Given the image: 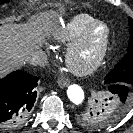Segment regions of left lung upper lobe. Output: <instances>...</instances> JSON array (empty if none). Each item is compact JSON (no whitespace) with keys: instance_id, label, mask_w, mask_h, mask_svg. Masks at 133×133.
I'll return each instance as SVG.
<instances>
[{"instance_id":"obj_1","label":"left lung upper lobe","mask_w":133,"mask_h":133,"mask_svg":"<svg viewBox=\"0 0 133 133\" xmlns=\"http://www.w3.org/2000/svg\"><path fill=\"white\" fill-rule=\"evenodd\" d=\"M130 40L127 54L113 68L105 78L106 84H124L133 86V19L129 18ZM97 102V101H96ZM126 108L113 107L112 103L105 99L100 105L93 108H86L80 111L77 122L92 130H101L117 121L125 112Z\"/></svg>"}]
</instances>
